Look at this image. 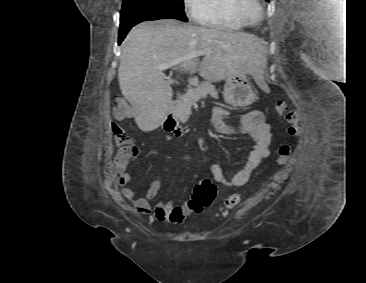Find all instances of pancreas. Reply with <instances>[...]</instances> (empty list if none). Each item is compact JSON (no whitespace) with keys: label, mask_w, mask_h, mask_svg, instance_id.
<instances>
[{"label":"pancreas","mask_w":366,"mask_h":283,"mask_svg":"<svg viewBox=\"0 0 366 283\" xmlns=\"http://www.w3.org/2000/svg\"><path fill=\"white\" fill-rule=\"evenodd\" d=\"M192 86L182 96L176 107L177 118L181 122H186L191 114V107L197 100L205 98L208 94L214 98H218V93L215 86L211 82L206 81L198 83L197 78H193L191 81Z\"/></svg>","instance_id":"1"}]
</instances>
